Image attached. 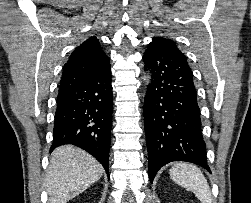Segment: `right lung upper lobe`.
<instances>
[{
    "mask_svg": "<svg viewBox=\"0 0 251 203\" xmlns=\"http://www.w3.org/2000/svg\"><path fill=\"white\" fill-rule=\"evenodd\" d=\"M109 65V58L101 51L99 41L91 37L77 47L63 68L59 93L65 92L94 76Z\"/></svg>",
    "mask_w": 251,
    "mask_h": 203,
    "instance_id": "1",
    "label": "right lung upper lobe"
}]
</instances>
